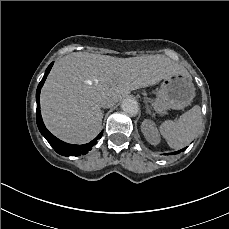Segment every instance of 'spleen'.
I'll return each mask as SVG.
<instances>
[{"label":"spleen","mask_w":229,"mask_h":229,"mask_svg":"<svg viewBox=\"0 0 229 229\" xmlns=\"http://www.w3.org/2000/svg\"><path fill=\"white\" fill-rule=\"evenodd\" d=\"M201 124V108L196 105L182 114L178 121L163 122L160 132L171 148L181 149L191 143Z\"/></svg>","instance_id":"obj_1"}]
</instances>
